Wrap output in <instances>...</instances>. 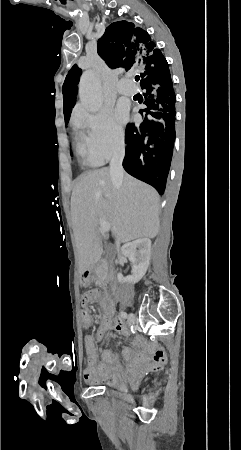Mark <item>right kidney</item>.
I'll list each match as a JSON object with an SVG mask.
<instances>
[{
    "mask_svg": "<svg viewBox=\"0 0 241 450\" xmlns=\"http://www.w3.org/2000/svg\"><path fill=\"white\" fill-rule=\"evenodd\" d=\"M151 240L149 238H139L129 244L122 246L121 254L128 258L132 266V276L123 278L122 274H117L118 282H128V284H136L143 276H145L150 258H151ZM115 264H121L120 260H116Z\"/></svg>",
    "mask_w": 241,
    "mask_h": 450,
    "instance_id": "ca27d5eb",
    "label": "right kidney"
}]
</instances>
